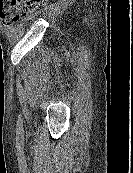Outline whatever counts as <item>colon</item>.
<instances>
[{
	"label": "colon",
	"instance_id": "1",
	"mask_svg": "<svg viewBox=\"0 0 133 173\" xmlns=\"http://www.w3.org/2000/svg\"><path fill=\"white\" fill-rule=\"evenodd\" d=\"M45 0H0V22L12 24L36 9Z\"/></svg>",
	"mask_w": 133,
	"mask_h": 173
}]
</instances>
